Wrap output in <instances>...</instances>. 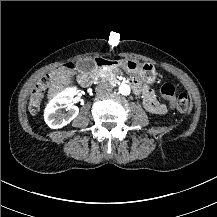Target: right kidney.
Segmentation results:
<instances>
[{"label": "right kidney", "mask_w": 217, "mask_h": 217, "mask_svg": "<svg viewBox=\"0 0 217 217\" xmlns=\"http://www.w3.org/2000/svg\"><path fill=\"white\" fill-rule=\"evenodd\" d=\"M76 89V87H67L49 101L44 110V119L50 128H62L78 115L79 108L72 103ZM62 108H65V112Z\"/></svg>", "instance_id": "ca27d5eb"}]
</instances>
